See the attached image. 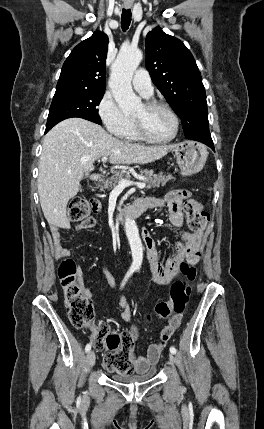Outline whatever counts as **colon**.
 I'll list each match as a JSON object with an SVG mask.
<instances>
[{
	"instance_id": "colon-1",
	"label": "colon",
	"mask_w": 264,
	"mask_h": 429,
	"mask_svg": "<svg viewBox=\"0 0 264 429\" xmlns=\"http://www.w3.org/2000/svg\"><path fill=\"white\" fill-rule=\"evenodd\" d=\"M100 204L96 200H88L84 197H75L70 201L68 215L72 221L84 220L91 212H98ZM187 224L191 231L201 232L208 220L207 212L202 210L196 201H190L185 207ZM198 249L188 252L187 258L180 265L183 279L175 281L170 288L169 300L156 305L153 315L157 319L169 317L172 313L182 314L189 302L191 287L190 282L196 275L195 265L199 260ZM64 302L69 309V319L76 328H91L93 343L96 349L106 350L104 363L107 371L127 375L133 372L134 340L128 332H118L104 323H93V307L90 299L84 293L77 278L75 262L63 256L58 267ZM169 332L161 334L163 341Z\"/></svg>"
}]
</instances>
